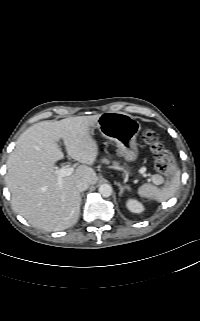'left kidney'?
<instances>
[{"label":"left kidney","instance_id":"left-kidney-1","mask_svg":"<svg viewBox=\"0 0 200 321\" xmlns=\"http://www.w3.org/2000/svg\"><path fill=\"white\" fill-rule=\"evenodd\" d=\"M126 206L133 213H141L144 211L143 205L134 199H129L126 202Z\"/></svg>","mask_w":200,"mask_h":321}]
</instances>
